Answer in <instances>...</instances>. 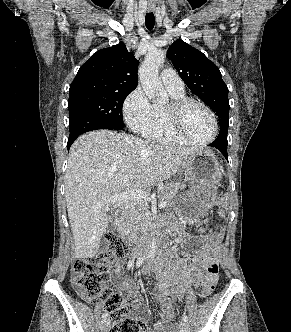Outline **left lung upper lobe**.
<instances>
[{
  "mask_svg": "<svg viewBox=\"0 0 291 332\" xmlns=\"http://www.w3.org/2000/svg\"><path fill=\"white\" fill-rule=\"evenodd\" d=\"M170 59L188 88L216 113L220 132L227 135L229 126L228 88L219 68L201 51L182 40L169 48Z\"/></svg>",
  "mask_w": 291,
  "mask_h": 332,
  "instance_id": "obj_1",
  "label": "left lung upper lobe"
}]
</instances>
